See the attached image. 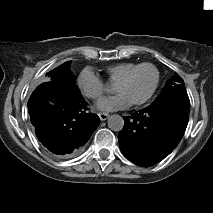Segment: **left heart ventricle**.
Returning <instances> with one entry per match:
<instances>
[{
    "instance_id": "1",
    "label": "left heart ventricle",
    "mask_w": 213,
    "mask_h": 213,
    "mask_svg": "<svg viewBox=\"0 0 213 213\" xmlns=\"http://www.w3.org/2000/svg\"><path fill=\"white\" fill-rule=\"evenodd\" d=\"M154 80V73L151 69H143L134 74L131 79L122 84H115L114 91L122 94L127 100L133 101L145 96Z\"/></svg>"
}]
</instances>
